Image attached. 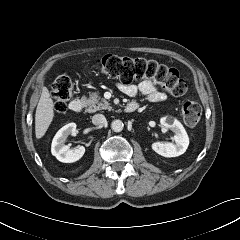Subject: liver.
I'll return each instance as SVG.
<instances>
[{
    "label": "liver",
    "mask_w": 240,
    "mask_h": 240,
    "mask_svg": "<svg viewBox=\"0 0 240 240\" xmlns=\"http://www.w3.org/2000/svg\"><path fill=\"white\" fill-rule=\"evenodd\" d=\"M54 117V103L48 89H42L35 114V135L37 139L42 138L49 128Z\"/></svg>",
    "instance_id": "obj_1"
}]
</instances>
